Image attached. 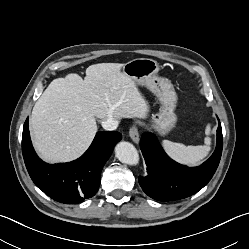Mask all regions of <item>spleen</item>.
Wrapping results in <instances>:
<instances>
[{"label": "spleen", "instance_id": "spleen-1", "mask_svg": "<svg viewBox=\"0 0 249 249\" xmlns=\"http://www.w3.org/2000/svg\"><path fill=\"white\" fill-rule=\"evenodd\" d=\"M211 126L208 124L205 129V145L185 146L181 143L162 140L161 144L166 153L178 163L194 166L203 160L209 153L211 147V138L209 137Z\"/></svg>", "mask_w": 249, "mask_h": 249}]
</instances>
